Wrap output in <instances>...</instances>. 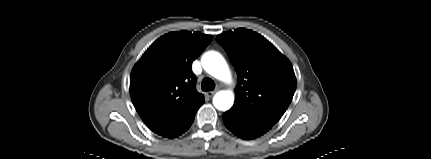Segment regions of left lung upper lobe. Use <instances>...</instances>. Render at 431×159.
<instances>
[{"instance_id": "1", "label": "left lung upper lobe", "mask_w": 431, "mask_h": 159, "mask_svg": "<svg viewBox=\"0 0 431 159\" xmlns=\"http://www.w3.org/2000/svg\"><path fill=\"white\" fill-rule=\"evenodd\" d=\"M233 64L238 83L231 112L273 126L296 90L291 62L260 34L239 28L216 37Z\"/></svg>"}]
</instances>
